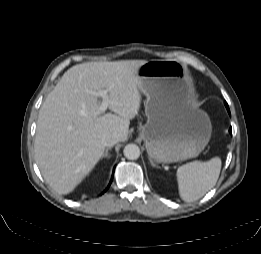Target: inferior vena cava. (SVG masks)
I'll list each match as a JSON object with an SVG mask.
<instances>
[{"instance_id": "602c4592", "label": "inferior vena cava", "mask_w": 261, "mask_h": 254, "mask_svg": "<svg viewBox=\"0 0 261 254\" xmlns=\"http://www.w3.org/2000/svg\"><path fill=\"white\" fill-rule=\"evenodd\" d=\"M117 142H119V136L116 133L106 136L103 140L104 145L107 147H112Z\"/></svg>"}]
</instances>
